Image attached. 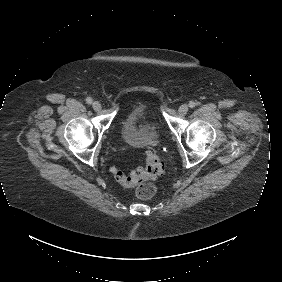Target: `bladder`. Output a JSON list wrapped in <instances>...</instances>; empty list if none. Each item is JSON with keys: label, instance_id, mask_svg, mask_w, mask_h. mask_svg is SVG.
<instances>
[{"label": "bladder", "instance_id": "31cf9c89", "mask_svg": "<svg viewBox=\"0 0 282 282\" xmlns=\"http://www.w3.org/2000/svg\"><path fill=\"white\" fill-rule=\"evenodd\" d=\"M120 137L125 145L133 149H143L157 142L156 126L147 121L144 106H135L127 114L122 123Z\"/></svg>", "mask_w": 282, "mask_h": 282}]
</instances>
